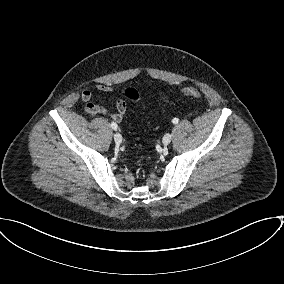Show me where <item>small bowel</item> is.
I'll return each mask as SVG.
<instances>
[{"label": "small bowel", "mask_w": 284, "mask_h": 284, "mask_svg": "<svg viewBox=\"0 0 284 284\" xmlns=\"http://www.w3.org/2000/svg\"><path fill=\"white\" fill-rule=\"evenodd\" d=\"M96 88L102 92H112L115 89L112 86L98 84ZM81 99L85 102L84 111L90 115H97V114H107L109 115L113 121L120 123L123 120V117L126 112V102L123 99L116 100V111L109 112L106 108L92 102L93 93L90 90H84L81 93Z\"/></svg>", "instance_id": "1"}]
</instances>
